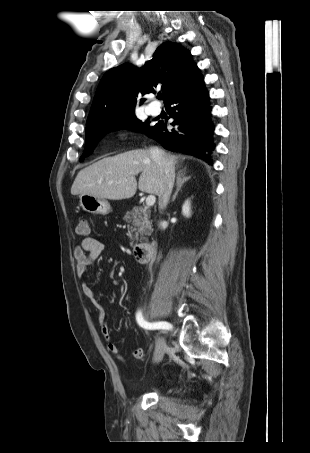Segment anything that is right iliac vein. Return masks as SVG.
<instances>
[{"label": "right iliac vein", "mask_w": 310, "mask_h": 453, "mask_svg": "<svg viewBox=\"0 0 310 453\" xmlns=\"http://www.w3.org/2000/svg\"><path fill=\"white\" fill-rule=\"evenodd\" d=\"M166 344L163 338L158 337L156 340V351L154 355V362L159 363L164 356Z\"/></svg>", "instance_id": "1"}]
</instances>
